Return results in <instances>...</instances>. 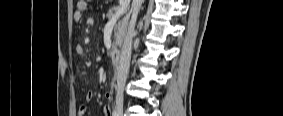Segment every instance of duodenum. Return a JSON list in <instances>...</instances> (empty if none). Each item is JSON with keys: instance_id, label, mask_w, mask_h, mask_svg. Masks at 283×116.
<instances>
[{"instance_id": "1", "label": "duodenum", "mask_w": 283, "mask_h": 116, "mask_svg": "<svg viewBox=\"0 0 283 116\" xmlns=\"http://www.w3.org/2000/svg\"><path fill=\"white\" fill-rule=\"evenodd\" d=\"M120 59H121V53L119 50H114L112 52V55H111V60H112V63L113 65L118 68L119 64H120Z\"/></svg>"}]
</instances>
